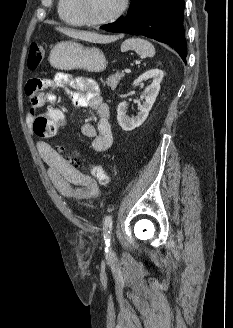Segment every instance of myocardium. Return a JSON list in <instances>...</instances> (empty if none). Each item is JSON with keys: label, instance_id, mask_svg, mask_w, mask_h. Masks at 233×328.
<instances>
[{"label": "myocardium", "instance_id": "obj_1", "mask_svg": "<svg viewBox=\"0 0 233 328\" xmlns=\"http://www.w3.org/2000/svg\"><path fill=\"white\" fill-rule=\"evenodd\" d=\"M128 7V0H121V3L118 9L113 12L111 15L103 18V19H92L86 12L85 9V1L84 0H76V9L80 16L82 17L85 24L89 26H102L108 23H111L121 17Z\"/></svg>", "mask_w": 233, "mask_h": 328}]
</instances>
